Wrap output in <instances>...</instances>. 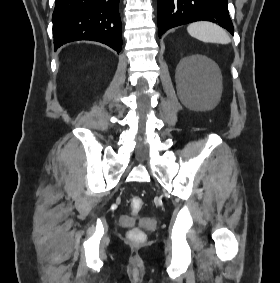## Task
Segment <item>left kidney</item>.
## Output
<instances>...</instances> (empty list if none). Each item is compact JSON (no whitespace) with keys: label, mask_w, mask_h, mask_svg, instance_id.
I'll return each instance as SVG.
<instances>
[{"label":"left kidney","mask_w":280,"mask_h":283,"mask_svg":"<svg viewBox=\"0 0 280 283\" xmlns=\"http://www.w3.org/2000/svg\"><path fill=\"white\" fill-rule=\"evenodd\" d=\"M197 59H205V58L202 57V56H196V57H193V58L190 59V60L194 61V60H197Z\"/></svg>","instance_id":"left-kidney-1"}]
</instances>
